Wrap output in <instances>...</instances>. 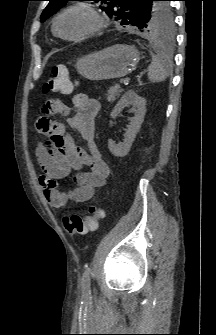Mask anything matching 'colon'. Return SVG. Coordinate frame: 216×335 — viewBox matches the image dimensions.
Returning <instances> with one entry per match:
<instances>
[{"label":"colon","instance_id":"obj_1","mask_svg":"<svg viewBox=\"0 0 216 335\" xmlns=\"http://www.w3.org/2000/svg\"><path fill=\"white\" fill-rule=\"evenodd\" d=\"M72 82L69 70L64 65H56L51 71L50 78L44 84L43 91L69 93ZM49 110V107H48ZM104 213L98 204H91L86 215L71 214L63 218V226L68 234L72 236L85 235L97 229L99 221Z\"/></svg>","mask_w":216,"mask_h":335}]
</instances>
